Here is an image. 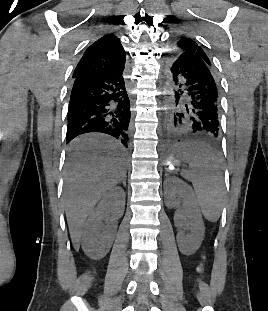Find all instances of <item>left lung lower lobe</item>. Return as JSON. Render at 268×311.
<instances>
[{"instance_id":"0a47b994","label":"left lung lower lobe","mask_w":268,"mask_h":311,"mask_svg":"<svg viewBox=\"0 0 268 311\" xmlns=\"http://www.w3.org/2000/svg\"><path fill=\"white\" fill-rule=\"evenodd\" d=\"M166 75L179 109L168 123L169 141L221 139L219 83L212 65L199 59L165 61Z\"/></svg>"}]
</instances>
